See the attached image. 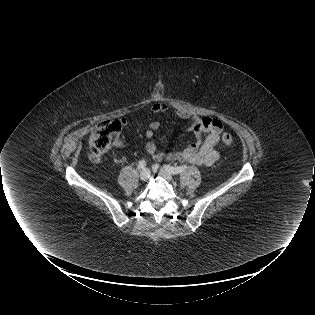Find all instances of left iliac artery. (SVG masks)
I'll return each instance as SVG.
<instances>
[{
  "instance_id": "obj_1",
  "label": "left iliac artery",
  "mask_w": 315,
  "mask_h": 315,
  "mask_svg": "<svg viewBox=\"0 0 315 315\" xmlns=\"http://www.w3.org/2000/svg\"><path fill=\"white\" fill-rule=\"evenodd\" d=\"M156 168H159V165H154ZM163 168L164 170L168 171L170 174H173V175H176V174H179L183 171L186 170V166H178V167H174V166H171V165H165L164 167H161Z\"/></svg>"
}]
</instances>
